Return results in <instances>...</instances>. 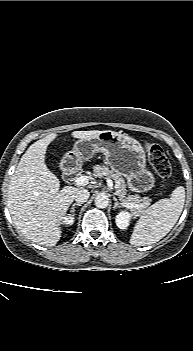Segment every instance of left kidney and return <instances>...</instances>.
Listing matches in <instances>:
<instances>
[{"instance_id":"left-kidney-1","label":"left kidney","mask_w":193,"mask_h":351,"mask_svg":"<svg viewBox=\"0 0 193 351\" xmlns=\"http://www.w3.org/2000/svg\"><path fill=\"white\" fill-rule=\"evenodd\" d=\"M131 219V214L126 211H121L116 215L115 222L120 229H127Z\"/></svg>"}]
</instances>
